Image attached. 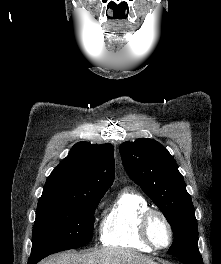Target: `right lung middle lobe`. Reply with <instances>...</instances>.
<instances>
[{"label": "right lung middle lobe", "mask_w": 221, "mask_h": 264, "mask_svg": "<svg viewBox=\"0 0 221 264\" xmlns=\"http://www.w3.org/2000/svg\"><path fill=\"white\" fill-rule=\"evenodd\" d=\"M103 195L70 198L41 196L33 227L30 258H44L88 243L93 237L94 212Z\"/></svg>", "instance_id": "1"}]
</instances>
